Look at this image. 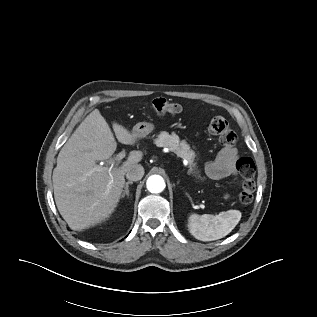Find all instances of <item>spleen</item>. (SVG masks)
<instances>
[{
    "instance_id": "1",
    "label": "spleen",
    "mask_w": 317,
    "mask_h": 317,
    "mask_svg": "<svg viewBox=\"0 0 317 317\" xmlns=\"http://www.w3.org/2000/svg\"><path fill=\"white\" fill-rule=\"evenodd\" d=\"M240 219L241 212L238 210L222 211L218 215L191 214L188 218V229L198 240L214 241L228 235Z\"/></svg>"
}]
</instances>
